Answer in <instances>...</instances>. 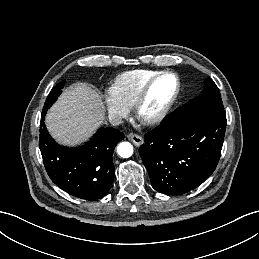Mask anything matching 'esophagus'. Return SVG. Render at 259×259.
Returning <instances> with one entry per match:
<instances>
[{
    "instance_id": "obj_1",
    "label": "esophagus",
    "mask_w": 259,
    "mask_h": 259,
    "mask_svg": "<svg viewBox=\"0 0 259 259\" xmlns=\"http://www.w3.org/2000/svg\"><path fill=\"white\" fill-rule=\"evenodd\" d=\"M127 138L134 143L135 146L139 147L143 143V138L135 133H129Z\"/></svg>"
}]
</instances>
